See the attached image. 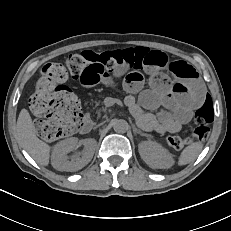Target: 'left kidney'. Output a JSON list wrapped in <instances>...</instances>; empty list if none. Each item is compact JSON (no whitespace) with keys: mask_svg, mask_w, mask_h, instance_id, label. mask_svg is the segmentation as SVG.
<instances>
[{"mask_svg":"<svg viewBox=\"0 0 231 231\" xmlns=\"http://www.w3.org/2000/svg\"><path fill=\"white\" fill-rule=\"evenodd\" d=\"M138 148L143 161L153 169H168L174 164L172 154L157 142L142 141Z\"/></svg>","mask_w":231,"mask_h":231,"instance_id":"obj_1","label":"left kidney"}]
</instances>
